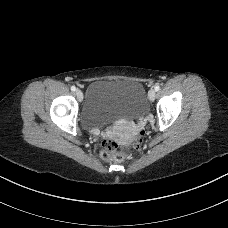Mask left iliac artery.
I'll use <instances>...</instances> for the list:
<instances>
[{
    "instance_id": "1",
    "label": "left iliac artery",
    "mask_w": 228,
    "mask_h": 228,
    "mask_svg": "<svg viewBox=\"0 0 228 228\" xmlns=\"http://www.w3.org/2000/svg\"><path fill=\"white\" fill-rule=\"evenodd\" d=\"M154 89H155V91H159V90H160V86H159V85H156V86L154 87Z\"/></svg>"
}]
</instances>
